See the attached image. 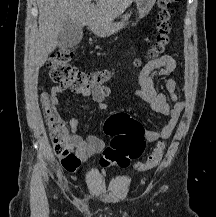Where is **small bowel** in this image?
I'll use <instances>...</instances> for the list:
<instances>
[{
    "label": "small bowel",
    "instance_id": "obj_1",
    "mask_svg": "<svg viewBox=\"0 0 216 217\" xmlns=\"http://www.w3.org/2000/svg\"><path fill=\"white\" fill-rule=\"evenodd\" d=\"M178 55L165 54L158 59L152 60L145 65L138 78V88L135 93L144 101L148 102L152 109L168 120L159 130H146L145 139L149 142H162L170 137L175 129L179 116L184 109V102L178 99L176 91V81L168 78L165 81V87L168 95L159 92L154 87V81L159 77H167L176 69V58ZM63 86H54L49 94L52 106L56 108L59 105V97L63 94ZM109 87H99L96 89H77L75 94L91 98L100 108L105 109L106 98L110 95ZM169 99L173 103L169 102ZM68 140L72 151L79 159L80 163L86 164L94 156L102 152L105 148V142L96 135L89 134L83 137L78 132V120L71 118L69 120Z\"/></svg>",
    "mask_w": 216,
    "mask_h": 217
}]
</instances>
